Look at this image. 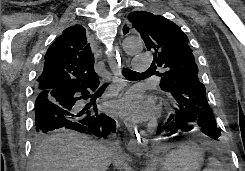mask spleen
Wrapping results in <instances>:
<instances>
[{"label":"spleen","instance_id":"spleen-1","mask_svg":"<svg viewBox=\"0 0 245 171\" xmlns=\"http://www.w3.org/2000/svg\"><path fill=\"white\" fill-rule=\"evenodd\" d=\"M203 171H225L223 164L219 162L216 158H209V164Z\"/></svg>","mask_w":245,"mask_h":171}]
</instances>
